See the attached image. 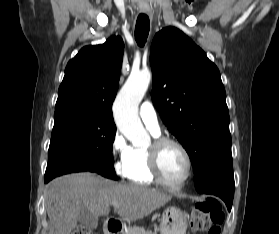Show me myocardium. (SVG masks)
Here are the masks:
<instances>
[{"instance_id":"myocardium-1","label":"myocardium","mask_w":279,"mask_h":234,"mask_svg":"<svg viewBox=\"0 0 279 234\" xmlns=\"http://www.w3.org/2000/svg\"><path fill=\"white\" fill-rule=\"evenodd\" d=\"M169 144L175 145L181 150L187 163V170L185 176L182 178V180H180L177 183H172L166 180L161 170V165H160L161 153L163 148ZM148 148H149V166L154 179L159 184L172 190H178L182 188L190 179L193 171V159L186 146L181 141L175 138L167 137V136H159L153 140V142Z\"/></svg>"}]
</instances>
